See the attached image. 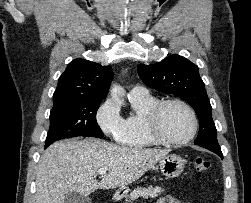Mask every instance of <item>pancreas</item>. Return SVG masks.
Instances as JSON below:
<instances>
[{
    "label": "pancreas",
    "instance_id": "1",
    "mask_svg": "<svg viewBox=\"0 0 251 203\" xmlns=\"http://www.w3.org/2000/svg\"><path fill=\"white\" fill-rule=\"evenodd\" d=\"M163 192L160 187H148L142 188L138 187L134 189L129 196L126 197V203H132V201L137 200L139 197L147 199L148 197L155 198Z\"/></svg>",
    "mask_w": 251,
    "mask_h": 203
}]
</instances>
